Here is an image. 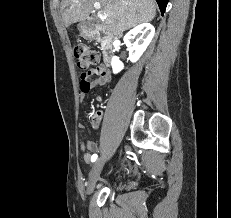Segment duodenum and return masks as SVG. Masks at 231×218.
Here are the masks:
<instances>
[{"label":"duodenum","instance_id":"1","mask_svg":"<svg viewBox=\"0 0 231 218\" xmlns=\"http://www.w3.org/2000/svg\"><path fill=\"white\" fill-rule=\"evenodd\" d=\"M84 30L89 38L104 42V63L105 66H109L114 56L115 36L112 33L106 32L97 24H87Z\"/></svg>","mask_w":231,"mask_h":218}]
</instances>
